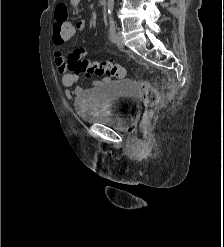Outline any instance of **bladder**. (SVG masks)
<instances>
[{"instance_id":"obj_1","label":"bladder","mask_w":224,"mask_h":247,"mask_svg":"<svg viewBox=\"0 0 224 247\" xmlns=\"http://www.w3.org/2000/svg\"><path fill=\"white\" fill-rule=\"evenodd\" d=\"M140 107L137 84L131 80H111L85 90L76 103L80 119L116 130H129Z\"/></svg>"}]
</instances>
